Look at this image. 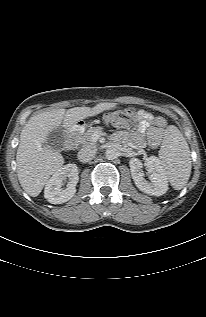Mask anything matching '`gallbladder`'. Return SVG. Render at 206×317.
<instances>
[{
    "mask_svg": "<svg viewBox=\"0 0 206 317\" xmlns=\"http://www.w3.org/2000/svg\"><path fill=\"white\" fill-rule=\"evenodd\" d=\"M65 139V130L62 127H58L48 134L46 145L54 151H61L64 149Z\"/></svg>",
    "mask_w": 206,
    "mask_h": 317,
    "instance_id": "obj_1",
    "label": "gallbladder"
}]
</instances>
